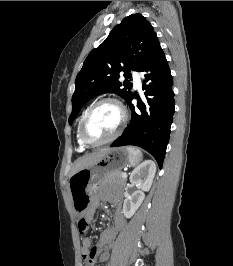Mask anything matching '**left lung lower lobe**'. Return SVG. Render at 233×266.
I'll list each match as a JSON object with an SVG mask.
<instances>
[{
    "label": "left lung lower lobe",
    "instance_id": "obj_1",
    "mask_svg": "<svg viewBox=\"0 0 233 266\" xmlns=\"http://www.w3.org/2000/svg\"><path fill=\"white\" fill-rule=\"evenodd\" d=\"M140 72L144 73L143 89L145 99L139 97L137 111L131 104L133 94L127 101L132 110L129 126L111 147L135 145L154 156L162 167L170 136L175 108L173 80L165 58L158 44L150 53Z\"/></svg>",
    "mask_w": 233,
    "mask_h": 266
}]
</instances>
